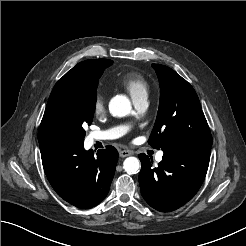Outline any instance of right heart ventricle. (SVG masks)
<instances>
[{
	"label": "right heart ventricle",
	"instance_id": "1",
	"mask_svg": "<svg viewBox=\"0 0 246 246\" xmlns=\"http://www.w3.org/2000/svg\"><path fill=\"white\" fill-rule=\"evenodd\" d=\"M120 83L130 93L132 99L148 96L149 86L145 78L136 73L124 75Z\"/></svg>",
	"mask_w": 246,
	"mask_h": 246
}]
</instances>
